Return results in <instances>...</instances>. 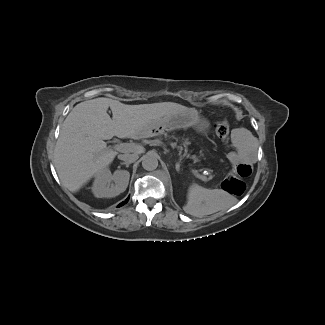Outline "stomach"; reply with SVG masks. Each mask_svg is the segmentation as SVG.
I'll return each instance as SVG.
<instances>
[{
    "label": "stomach",
    "mask_w": 325,
    "mask_h": 325,
    "mask_svg": "<svg viewBox=\"0 0 325 325\" xmlns=\"http://www.w3.org/2000/svg\"><path fill=\"white\" fill-rule=\"evenodd\" d=\"M190 126H195L199 131H203L208 127V124L206 121L200 120L196 112H179L167 115L163 119L151 123L142 131V134L145 137L163 135L171 131H177L178 128Z\"/></svg>",
    "instance_id": "stomach-1"
}]
</instances>
